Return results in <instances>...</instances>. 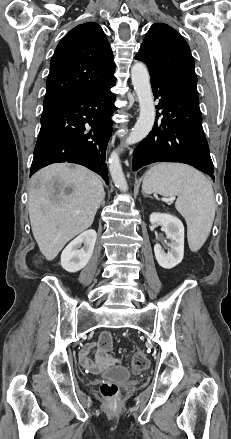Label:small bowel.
Listing matches in <instances>:
<instances>
[{
    "instance_id": "c3829d8e",
    "label": "small bowel",
    "mask_w": 231,
    "mask_h": 439,
    "mask_svg": "<svg viewBox=\"0 0 231 439\" xmlns=\"http://www.w3.org/2000/svg\"><path fill=\"white\" fill-rule=\"evenodd\" d=\"M91 354L94 358H91ZM81 365L92 373H98L116 363V358L100 349L96 342L88 343L79 352Z\"/></svg>"
}]
</instances>
